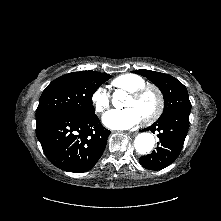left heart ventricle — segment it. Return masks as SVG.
<instances>
[{
  "mask_svg": "<svg viewBox=\"0 0 221 221\" xmlns=\"http://www.w3.org/2000/svg\"><path fill=\"white\" fill-rule=\"evenodd\" d=\"M157 99L153 92H148L139 99L129 96L124 104L125 108H134L141 116L145 118L150 115L156 108Z\"/></svg>",
  "mask_w": 221,
  "mask_h": 221,
  "instance_id": "left-heart-ventricle-1",
  "label": "left heart ventricle"
}]
</instances>
